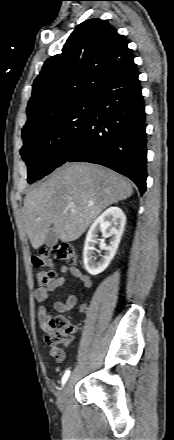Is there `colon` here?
<instances>
[{
	"instance_id": "obj_1",
	"label": "colon",
	"mask_w": 174,
	"mask_h": 440,
	"mask_svg": "<svg viewBox=\"0 0 174 440\" xmlns=\"http://www.w3.org/2000/svg\"><path fill=\"white\" fill-rule=\"evenodd\" d=\"M54 260L66 261L70 264L78 262V253L74 246L59 243L41 248L33 255L32 261L36 268V280L40 287H47L56 279V272L50 268ZM73 337V328L63 316L50 317L46 326V341L52 348L68 345Z\"/></svg>"
}]
</instances>
